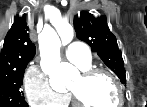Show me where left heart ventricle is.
Here are the masks:
<instances>
[{
    "label": "left heart ventricle",
    "mask_w": 147,
    "mask_h": 107,
    "mask_svg": "<svg viewBox=\"0 0 147 107\" xmlns=\"http://www.w3.org/2000/svg\"><path fill=\"white\" fill-rule=\"evenodd\" d=\"M89 107H112L117 101V92L112 81L105 75L90 80L79 76L70 87Z\"/></svg>",
    "instance_id": "b2bd125f"
}]
</instances>
